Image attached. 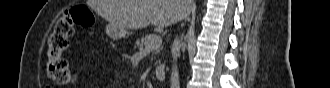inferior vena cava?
I'll return each instance as SVG.
<instances>
[{
    "mask_svg": "<svg viewBox=\"0 0 330 88\" xmlns=\"http://www.w3.org/2000/svg\"><path fill=\"white\" fill-rule=\"evenodd\" d=\"M189 15V11H185L182 19L187 18ZM171 52L173 56V60L176 61L177 56L180 52V40L176 38L171 46ZM171 88H180L179 83V75L176 64L172 67V74H171Z\"/></svg>",
    "mask_w": 330,
    "mask_h": 88,
    "instance_id": "602c4592",
    "label": "inferior vena cava"
}]
</instances>
